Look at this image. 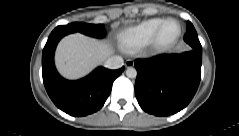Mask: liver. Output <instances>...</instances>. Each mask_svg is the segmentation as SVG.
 Instances as JSON below:
<instances>
[{
  "mask_svg": "<svg viewBox=\"0 0 239 136\" xmlns=\"http://www.w3.org/2000/svg\"><path fill=\"white\" fill-rule=\"evenodd\" d=\"M112 53L113 48L108 43L81 33H73L59 42L55 64L64 77L79 79L102 64Z\"/></svg>",
  "mask_w": 239,
  "mask_h": 136,
  "instance_id": "1",
  "label": "liver"
}]
</instances>
